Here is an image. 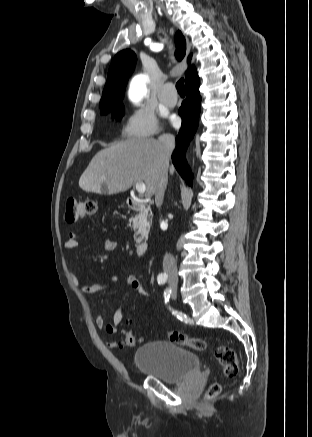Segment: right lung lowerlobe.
<instances>
[{
    "label": "right lung lower lobe",
    "mask_w": 312,
    "mask_h": 437,
    "mask_svg": "<svg viewBox=\"0 0 312 437\" xmlns=\"http://www.w3.org/2000/svg\"><path fill=\"white\" fill-rule=\"evenodd\" d=\"M199 77H192L185 83L186 100L183 101L179 109L182 117V126L176 137V149L172 154V162L188 185H192L191 170L185 159V152L191 139L193 138L199 123L201 96L199 93Z\"/></svg>",
    "instance_id": "1"
}]
</instances>
